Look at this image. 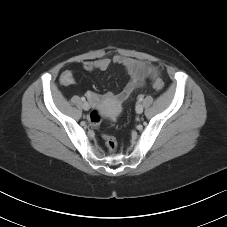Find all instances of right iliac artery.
Returning <instances> with one entry per match:
<instances>
[{
  "instance_id": "right-iliac-artery-1",
  "label": "right iliac artery",
  "mask_w": 227,
  "mask_h": 227,
  "mask_svg": "<svg viewBox=\"0 0 227 227\" xmlns=\"http://www.w3.org/2000/svg\"><path fill=\"white\" fill-rule=\"evenodd\" d=\"M81 100H82L83 102H85V101H86L85 97H81Z\"/></svg>"
}]
</instances>
